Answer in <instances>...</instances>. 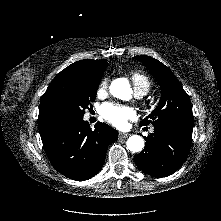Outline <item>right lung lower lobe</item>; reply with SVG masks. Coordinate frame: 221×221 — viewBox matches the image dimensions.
<instances>
[{"mask_svg": "<svg viewBox=\"0 0 221 221\" xmlns=\"http://www.w3.org/2000/svg\"><path fill=\"white\" fill-rule=\"evenodd\" d=\"M40 135L52 166L76 181L87 180L100 171L108 146L118 138V132L105 123L98 122L92 130L83 117Z\"/></svg>", "mask_w": 221, "mask_h": 221, "instance_id": "obj_1", "label": "right lung lower lobe"}]
</instances>
